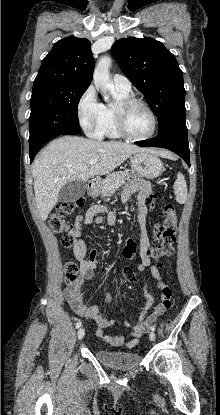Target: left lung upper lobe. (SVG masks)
<instances>
[{
  "label": "left lung upper lobe",
  "instance_id": "5c2ea615",
  "mask_svg": "<svg viewBox=\"0 0 220 415\" xmlns=\"http://www.w3.org/2000/svg\"><path fill=\"white\" fill-rule=\"evenodd\" d=\"M112 54L125 76L139 89L156 114L161 132L172 120L186 115L183 73L175 56L151 39L117 40Z\"/></svg>",
  "mask_w": 220,
  "mask_h": 415
}]
</instances>
